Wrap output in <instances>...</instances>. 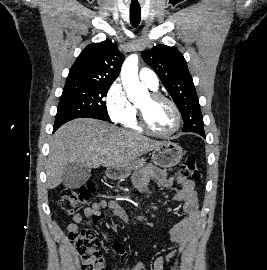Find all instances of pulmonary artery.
<instances>
[{
    "label": "pulmonary artery",
    "instance_id": "1",
    "mask_svg": "<svg viewBox=\"0 0 267 270\" xmlns=\"http://www.w3.org/2000/svg\"><path fill=\"white\" fill-rule=\"evenodd\" d=\"M140 80L151 89H157L159 85L158 77L156 73L149 68H142L139 71Z\"/></svg>",
    "mask_w": 267,
    "mask_h": 270
}]
</instances>
